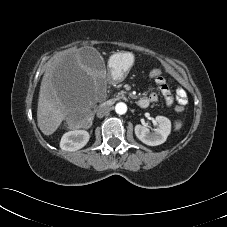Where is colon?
Here are the masks:
<instances>
[{"label":"colon","instance_id":"obj_1","mask_svg":"<svg viewBox=\"0 0 227 227\" xmlns=\"http://www.w3.org/2000/svg\"><path fill=\"white\" fill-rule=\"evenodd\" d=\"M148 76L150 79H156L157 77L161 76V69L160 68H153L149 71ZM177 112H182L183 107L182 106H177L176 107Z\"/></svg>","mask_w":227,"mask_h":227}]
</instances>
